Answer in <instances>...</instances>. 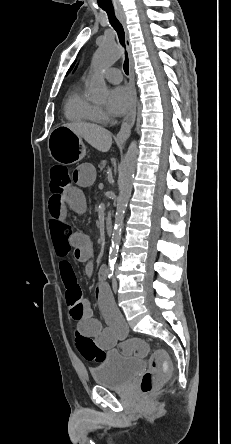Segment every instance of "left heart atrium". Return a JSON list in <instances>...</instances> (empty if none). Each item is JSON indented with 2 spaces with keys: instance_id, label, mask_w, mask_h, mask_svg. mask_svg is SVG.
<instances>
[{
  "instance_id": "obj_1",
  "label": "left heart atrium",
  "mask_w": 231,
  "mask_h": 444,
  "mask_svg": "<svg viewBox=\"0 0 231 444\" xmlns=\"http://www.w3.org/2000/svg\"><path fill=\"white\" fill-rule=\"evenodd\" d=\"M133 104L132 91L124 86L112 88L108 93V109L109 111L120 116L125 114Z\"/></svg>"
}]
</instances>
